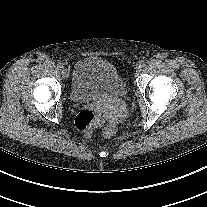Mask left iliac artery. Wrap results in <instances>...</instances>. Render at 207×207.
<instances>
[{
    "label": "left iliac artery",
    "instance_id": "1",
    "mask_svg": "<svg viewBox=\"0 0 207 207\" xmlns=\"http://www.w3.org/2000/svg\"><path fill=\"white\" fill-rule=\"evenodd\" d=\"M140 63L142 64L143 67L146 65V61L145 60H142Z\"/></svg>",
    "mask_w": 207,
    "mask_h": 207
}]
</instances>
